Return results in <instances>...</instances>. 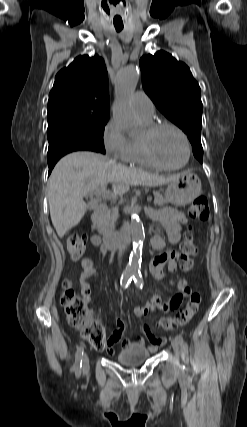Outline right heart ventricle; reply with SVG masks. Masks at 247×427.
Wrapping results in <instances>:
<instances>
[{"mask_svg":"<svg viewBox=\"0 0 247 427\" xmlns=\"http://www.w3.org/2000/svg\"><path fill=\"white\" fill-rule=\"evenodd\" d=\"M146 125L151 123V120H143ZM128 162L135 163L143 166H152L151 163L146 159L143 154L140 139H131L129 140V154Z\"/></svg>","mask_w":247,"mask_h":427,"instance_id":"obj_1","label":"right heart ventricle"}]
</instances>
